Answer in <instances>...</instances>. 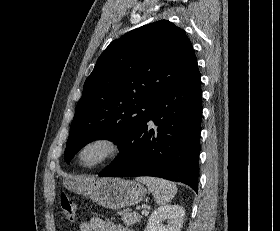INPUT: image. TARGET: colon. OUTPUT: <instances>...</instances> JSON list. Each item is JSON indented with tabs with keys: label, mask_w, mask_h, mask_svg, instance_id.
I'll return each instance as SVG.
<instances>
[{
	"label": "colon",
	"mask_w": 280,
	"mask_h": 231,
	"mask_svg": "<svg viewBox=\"0 0 280 231\" xmlns=\"http://www.w3.org/2000/svg\"><path fill=\"white\" fill-rule=\"evenodd\" d=\"M59 205L61 208V213H69L71 215H64V220H72L73 216L72 214L75 213V208H73V200L71 196L67 193H61V195L58 198Z\"/></svg>",
	"instance_id": "5ec220e1"
}]
</instances>
